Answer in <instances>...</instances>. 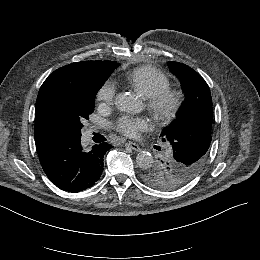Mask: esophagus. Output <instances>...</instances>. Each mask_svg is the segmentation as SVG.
Listing matches in <instances>:
<instances>
[{"instance_id": "esophagus-1", "label": "esophagus", "mask_w": 260, "mask_h": 260, "mask_svg": "<svg viewBox=\"0 0 260 260\" xmlns=\"http://www.w3.org/2000/svg\"><path fill=\"white\" fill-rule=\"evenodd\" d=\"M127 145L132 148L133 150L137 151V152H141V148L139 147L138 144H136L135 142L129 141L127 143Z\"/></svg>"}]
</instances>
